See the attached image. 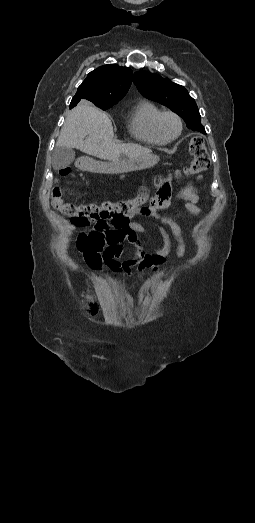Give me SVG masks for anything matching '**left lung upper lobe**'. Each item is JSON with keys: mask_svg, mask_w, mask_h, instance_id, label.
I'll return each mask as SVG.
<instances>
[{"mask_svg": "<svg viewBox=\"0 0 255 523\" xmlns=\"http://www.w3.org/2000/svg\"><path fill=\"white\" fill-rule=\"evenodd\" d=\"M134 83L144 97L167 106L181 116L188 128L206 133L200 123L201 117L195 100L183 86L146 71L136 72Z\"/></svg>", "mask_w": 255, "mask_h": 523, "instance_id": "5c2ea615", "label": "left lung upper lobe"}]
</instances>
